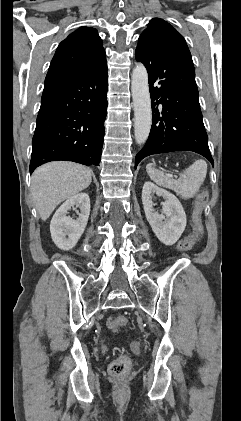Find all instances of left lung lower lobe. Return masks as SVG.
Instances as JSON below:
<instances>
[{
    "instance_id": "left-lung-lower-lobe-1",
    "label": "left lung lower lobe",
    "mask_w": 241,
    "mask_h": 421,
    "mask_svg": "<svg viewBox=\"0 0 241 421\" xmlns=\"http://www.w3.org/2000/svg\"><path fill=\"white\" fill-rule=\"evenodd\" d=\"M135 57L148 71L153 121L135 168L149 155L182 150L199 153L213 165L189 50L140 36Z\"/></svg>"
}]
</instances>
